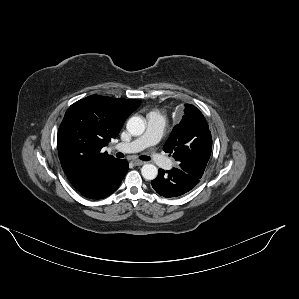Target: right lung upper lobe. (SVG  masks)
Segmentation results:
<instances>
[{
	"instance_id": "right-lung-upper-lobe-1",
	"label": "right lung upper lobe",
	"mask_w": 299,
	"mask_h": 299,
	"mask_svg": "<svg viewBox=\"0 0 299 299\" xmlns=\"http://www.w3.org/2000/svg\"><path fill=\"white\" fill-rule=\"evenodd\" d=\"M140 100L91 95L72 104L59 127L58 154L62 168L80 192L94 187L114 161L101 149L115 138Z\"/></svg>"
}]
</instances>
